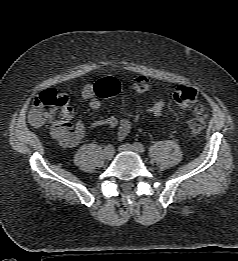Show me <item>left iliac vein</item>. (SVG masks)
<instances>
[{"label":"left iliac vein","mask_w":238,"mask_h":261,"mask_svg":"<svg viewBox=\"0 0 238 261\" xmlns=\"http://www.w3.org/2000/svg\"><path fill=\"white\" fill-rule=\"evenodd\" d=\"M119 151L120 152H135L136 149L133 145L131 144H122L120 147H119Z\"/></svg>","instance_id":"4c4485c4"}]
</instances>
